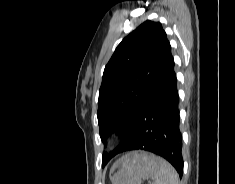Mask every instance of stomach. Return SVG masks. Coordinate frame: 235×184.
Segmentation results:
<instances>
[{"mask_svg":"<svg viewBox=\"0 0 235 184\" xmlns=\"http://www.w3.org/2000/svg\"><path fill=\"white\" fill-rule=\"evenodd\" d=\"M158 168V156L136 150L122 156L113 164L109 178L112 184H141V180L153 176Z\"/></svg>","mask_w":235,"mask_h":184,"instance_id":"1","label":"stomach"}]
</instances>
